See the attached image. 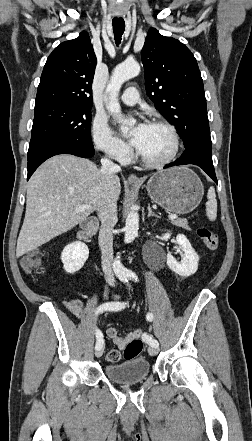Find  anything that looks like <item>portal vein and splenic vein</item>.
Returning <instances> with one entry per match:
<instances>
[{
	"mask_svg": "<svg viewBox=\"0 0 252 441\" xmlns=\"http://www.w3.org/2000/svg\"><path fill=\"white\" fill-rule=\"evenodd\" d=\"M91 208L92 207L90 205H82V206H79L77 208V211H86V210H90ZM169 219L173 221V220L177 219V216L176 215H171L169 217Z\"/></svg>",
	"mask_w": 252,
	"mask_h": 441,
	"instance_id": "1",
	"label": "portal vein and splenic vein"
}]
</instances>
